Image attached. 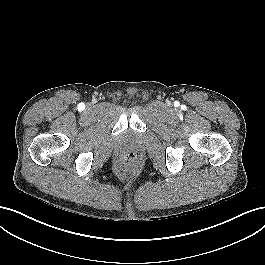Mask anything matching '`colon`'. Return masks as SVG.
Masks as SVG:
<instances>
[{
	"label": "colon",
	"instance_id": "obj_1",
	"mask_svg": "<svg viewBox=\"0 0 265 265\" xmlns=\"http://www.w3.org/2000/svg\"><path fill=\"white\" fill-rule=\"evenodd\" d=\"M137 162L136 154L133 152H124L121 154L118 162V168L121 172H128L134 169Z\"/></svg>",
	"mask_w": 265,
	"mask_h": 265
}]
</instances>
